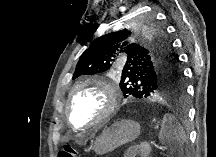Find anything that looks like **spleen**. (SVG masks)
Returning a JSON list of instances; mask_svg holds the SVG:
<instances>
[{
    "label": "spleen",
    "instance_id": "obj_1",
    "mask_svg": "<svg viewBox=\"0 0 216 157\" xmlns=\"http://www.w3.org/2000/svg\"><path fill=\"white\" fill-rule=\"evenodd\" d=\"M159 140L171 152H178V155H184V144L187 142V136L184 128L171 114H165L159 131Z\"/></svg>",
    "mask_w": 216,
    "mask_h": 157
}]
</instances>
